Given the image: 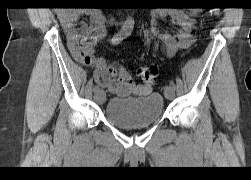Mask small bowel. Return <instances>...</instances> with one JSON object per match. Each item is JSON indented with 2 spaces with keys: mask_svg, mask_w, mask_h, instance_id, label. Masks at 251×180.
<instances>
[{
  "mask_svg": "<svg viewBox=\"0 0 251 180\" xmlns=\"http://www.w3.org/2000/svg\"><path fill=\"white\" fill-rule=\"evenodd\" d=\"M196 11L185 12L180 9H156L151 14V32L159 40L163 52L167 56L179 50L190 48L193 43V29ZM87 16V21H80ZM169 16L178 26V31L171 34L161 28V21ZM68 48L73 57L84 65L95 68V82L106 88L110 93L120 97L147 96L152 87L136 84L126 69L120 65H111L104 58H95L93 48L105 37L109 19L97 9L67 11L60 14Z\"/></svg>",
  "mask_w": 251,
  "mask_h": 180,
  "instance_id": "c3829d8e",
  "label": "small bowel"
}]
</instances>
